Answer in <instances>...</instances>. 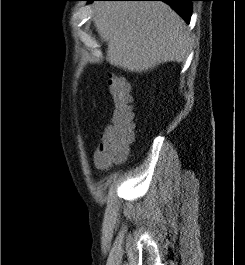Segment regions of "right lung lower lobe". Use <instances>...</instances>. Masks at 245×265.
Segmentation results:
<instances>
[{
  "mask_svg": "<svg viewBox=\"0 0 245 265\" xmlns=\"http://www.w3.org/2000/svg\"><path fill=\"white\" fill-rule=\"evenodd\" d=\"M86 1L91 3L95 0H86ZM124 1H163L169 4L180 16H182L186 20L187 23H189L192 13V6L190 2L194 0H124Z\"/></svg>",
  "mask_w": 245,
  "mask_h": 265,
  "instance_id": "1",
  "label": "right lung lower lobe"
}]
</instances>
